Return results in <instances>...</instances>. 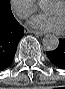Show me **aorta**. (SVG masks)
<instances>
[{"label":"aorta","instance_id":"obj_1","mask_svg":"<svg viewBox=\"0 0 65 89\" xmlns=\"http://www.w3.org/2000/svg\"><path fill=\"white\" fill-rule=\"evenodd\" d=\"M42 44H43L44 50L54 51L59 46V39L54 34H47L44 36Z\"/></svg>","mask_w":65,"mask_h":89}]
</instances>
